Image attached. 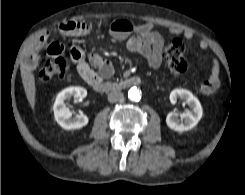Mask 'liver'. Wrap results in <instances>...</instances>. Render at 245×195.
Here are the masks:
<instances>
[{
    "label": "liver",
    "instance_id": "6515ba94",
    "mask_svg": "<svg viewBox=\"0 0 245 195\" xmlns=\"http://www.w3.org/2000/svg\"><path fill=\"white\" fill-rule=\"evenodd\" d=\"M22 83L24 86L25 94L27 100L32 109L35 107V97H36V87H35V77L32 72V68L22 63L20 66Z\"/></svg>",
    "mask_w": 245,
    "mask_h": 195
}]
</instances>
